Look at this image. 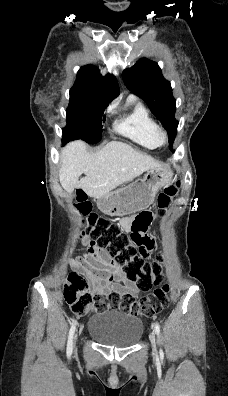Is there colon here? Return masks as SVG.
I'll return each mask as SVG.
<instances>
[{"label":"colon","mask_w":228,"mask_h":396,"mask_svg":"<svg viewBox=\"0 0 228 396\" xmlns=\"http://www.w3.org/2000/svg\"><path fill=\"white\" fill-rule=\"evenodd\" d=\"M181 184L179 180L175 184L167 185L160 192L157 199L159 215L166 213L167 207L177 196ZM76 208L81 215L87 217V228L82 230L81 237L89 234L97 247L124 270L128 280L136 283L143 291H148L152 285L159 283L162 255L158 254L154 261L148 260L155 248L154 241L146 234L153 220L151 212L139 213L131 224L130 235L127 236L106 219L91 214V204L81 190L77 192ZM168 292V286L162 285L140 299H136L131 293L92 295L88 290V283L79 274L70 273L64 282L65 300L71 310L80 316L91 311L119 309L122 312L151 317L168 306Z\"/></svg>","instance_id":"obj_1"}]
</instances>
